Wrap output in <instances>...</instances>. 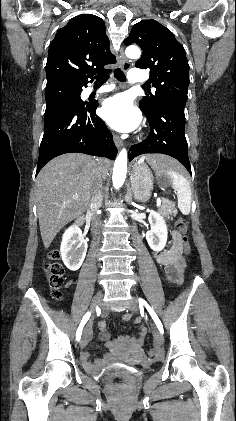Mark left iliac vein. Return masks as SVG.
<instances>
[{"mask_svg":"<svg viewBox=\"0 0 236 421\" xmlns=\"http://www.w3.org/2000/svg\"><path fill=\"white\" fill-rule=\"evenodd\" d=\"M129 309L132 312H138L139 304H138V300L135 297L131 298V301H130V304H129ZM151 327H152L154 343L156 345H161L162 342H163L162 333L159 331V329L157 328V326L154 323L151 324Z\"/></svg>","mask_w":236,"mask_h":421,"instance_id":"4c4485c4","label":"left iliac vein"}]
</instances>
